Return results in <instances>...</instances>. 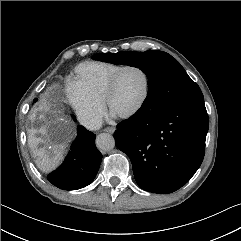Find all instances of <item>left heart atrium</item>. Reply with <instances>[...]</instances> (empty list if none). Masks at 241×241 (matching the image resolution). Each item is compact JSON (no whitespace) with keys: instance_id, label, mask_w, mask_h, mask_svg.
Listing matches in <instances>:
<instances>
[{"instance_id":"obj_1","label":"left heart atrium","mask_w":241,"mask_h":241,"mask_svg":"<svg viewBox=\"0 0 241 241\" xmlns=\"http://www.w3.org/2000/svg\"><path fill=\"white\" fill-rule=\"evenodd\" d=\"M110 115H111V117H116L117 116V114L115 112H113V111L110 112Z\"/></svg>"}]
</instances>
